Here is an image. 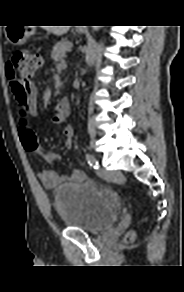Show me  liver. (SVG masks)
I'll list each match as a JSON object with an SVG mask.
<instances>
[{"mask_svg":"<svg viewBox=\"0 0 184 292\" xmlns=\"http://www.w3.org/2000/svg\"><path fill=\"white\" fill-rule=\"evenodd\" d=\"M45 29L54 35L61 36L69 30V26H47Z\"/></svg>","mask_w":184,"mask_h":292,"instance_id":"6515ba94","label":"liver"}]
</instances>
